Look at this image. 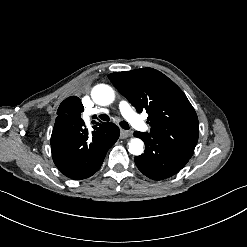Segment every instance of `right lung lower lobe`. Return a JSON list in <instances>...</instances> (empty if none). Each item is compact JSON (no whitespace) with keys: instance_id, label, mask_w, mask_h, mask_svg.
<instances>
[{"instance_id":"right-lung-lower-lobe-1","label":"right lung lower lobe","mask_w":247,"mask_h":247,"mask_svg":"<svg viewBox=\"0 0 247 247\" xmlns=\"http://www.w3.org/2000/svg\"><path fill=\"white\" fill-rule=\"evenodd\" d=\"M120 130L108 123L98 132L88 134V129L71 127L52 133V157L57 168L67 177L86 179L97 172L107 151L119 138Z\"/></svg>"}]
</instances>
